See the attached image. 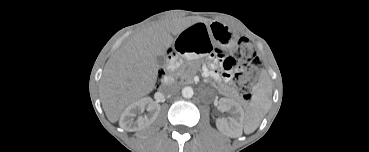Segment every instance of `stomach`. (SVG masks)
<instances>
[{
	"instance_id": "1",
	"label": "stomach",
	"mask_w": 369,
	"mask_h": 152,
	"mask_svg": "<svg viewBox=\"0 0 369 152\" xmlns=\"http://www.w3.org/2000/svg\"><path fill=\"white\" fill-rule=\"evenodd\" d=\"M211 29L213 31V25H211ZM217 29H218V33L215 34L213 32L214 35L212 34V38L217 40L219 45L225 48L231 47L233 45V40L235 38L232 35L231 30L227 26L221 25V24L217 27Z\"/></svg>"
}]
</instances>
